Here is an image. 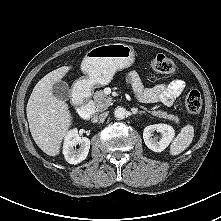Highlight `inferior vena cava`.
<instances>
[{
	"mask_svg": "<svg viewBox=\"0 0 221 221\" xmlns=\"http://www.w3.org/2000/svg\"><path fill=\"white\" fill-rule=\"evenodd\" d=\"M106 117H107V113L104 112V113H102V114L99 115V120H100V121H104V120L106 119Z\"/></svg>",
	"mask_w": 221,
	"mask_h": 221,
	"instance_id": "obj_1",
	"label": "inferior vena cava"
}]
</instances>
